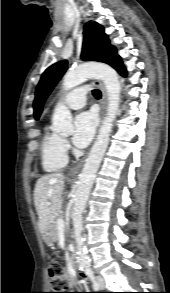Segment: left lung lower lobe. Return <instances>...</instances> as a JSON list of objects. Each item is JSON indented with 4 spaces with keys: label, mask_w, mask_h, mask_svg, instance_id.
I'll return each instance as SVG.
<instances>
[{
    "label": "left lung lower lobe",
    "mask_w": 170,
    "mask_h": 293,
    "mask_svg": "<svg viewBox=\"0 0 170 293\" xmlns=\"http://www.w3.org/2000/svg\"><path fill=\"white\" fill-rule=\"evenodd\" d=\"M110 65L113 68H115L122 76H126L125 68L119 56H117L116 59Z\"/></svg>",
    "instance_id": "0a47b994"
}]
</instances>
